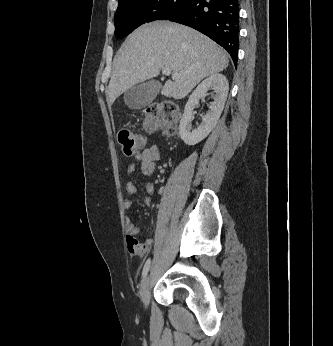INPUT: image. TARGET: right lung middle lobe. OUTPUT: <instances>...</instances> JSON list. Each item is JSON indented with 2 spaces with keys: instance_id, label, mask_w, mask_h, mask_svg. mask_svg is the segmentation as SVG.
I'll use <instances>...</instances> for the list:
<instances>
[{
  "instance_id": "dd1d6c3e",
  "label": "right lung middle lobe",
  "mask_w": 333,
  "mask_h": 346,
  "mask_svg": "<svg viewBox=\"0 0 333 346\" xmlns=\"http://www.w3.org/2000/svg\"><path fill=\"white\" fill-rule=\"evenodd\" d=\"M185 0H119L115 13V36L124 38L140 25L166 20Z\"/></svg>"
}]
</instances>
